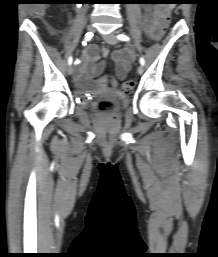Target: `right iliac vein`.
<instances>
[{
	"label": "right iliac vein",
	"mask_w": 218,
	"mask_h": 257,
	"mask_svg": "<svg viewBox=\"0 0 218 257\" xmlns=\"http://www.w3.org/2000/svg\"><path fill=\"white\" fill-rule=\"evenodd\" d=\"M87 30H88L89 32H91V31L93 30V25H92L91 23L87 25ZM67 72H68L69 75H72V74H73L74 68H73L72 65H70V66L68 67Z\"/></svg>",
	"instance_id": "63e3f726"
}]
</instances>
